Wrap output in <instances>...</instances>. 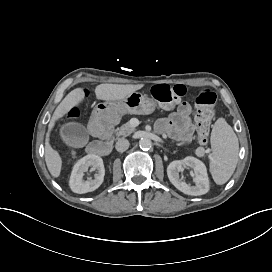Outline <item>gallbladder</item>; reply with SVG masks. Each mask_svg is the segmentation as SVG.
<instances>
[{"mask_svg":"<svg viewBox=\"0 0 272 272\" xmlns=\"http://www.w3.org/2000/svg\"><path fill=\"white\" fill-rule=\"evenodd\" d=\"M60 135L64 142L71 147L84 146L88 141L87 130L80 123L70 122L63 125Z\"/></svg>","mask_w":272,"mask_h":272,"instance_id":"gallbladder-1","label":"gallbladder"}]
</instances>
